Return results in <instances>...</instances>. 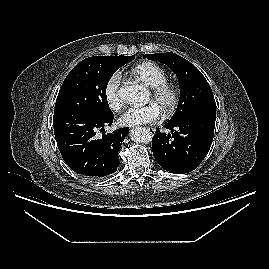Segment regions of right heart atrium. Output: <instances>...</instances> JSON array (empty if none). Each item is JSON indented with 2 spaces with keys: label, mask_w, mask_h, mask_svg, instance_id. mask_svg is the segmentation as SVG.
Wrapping results in <instances>:
<instances>
[{
  "label": "right heart atrium",
  "mask_w": 269,
  "mask_h": 269,
  "mask_svg": "<svg viewBox=\"0 0 269 269\" xmlns=\"http://www.w3.org/2000/svg\"><path fill=\"white\" fill-rule=\"evenodd\" d=\"M122 82L121 73H112L104 85V98L108 107L113 111H119L123 102L119 96V86Z\"/></svg>",
  "instance_id": "right-heart-atrium-1"
}]
</instances>
